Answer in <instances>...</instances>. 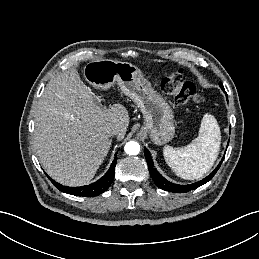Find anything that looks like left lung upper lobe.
Instances as JSON below:
<instances>
[{"label":"left lung upper lobe","instance_id":"obj_1","mask_svg":"<svg viewBox=\"0 0 259 259\" xmlns=\"http://www.w3.org/2000/svg\"><path fill=\"white\" fill-rule=\"evenodd\" d=\"M219 85H220L221 89H222L223 91H225V90H224V87H223V85H222V83H219Z\"/></svg>","mask_w":259,"mask_h":259}]
</instances>
